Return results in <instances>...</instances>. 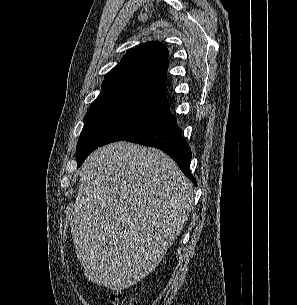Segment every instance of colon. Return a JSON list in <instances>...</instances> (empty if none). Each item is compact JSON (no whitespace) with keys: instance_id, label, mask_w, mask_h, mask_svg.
Returning a JSON list of instances; mask_svg holds the SVG:
<instances>
[{"instance_id":"obj_1","label":"colon","mask_w":297,"mask_h":305,"mask_svg":"<svg viewBox=\"0 0 297 305\" xmlns=\"http://www.w3.org/2000/svg\"><path fill=\"white\" fill-rule=\"evenodd\" d=\"M126 303L127 305H138L135 299L126 302L124 293L121 290H116L111 293L108 305H125Z\"/></svg>"}]
</instances>
